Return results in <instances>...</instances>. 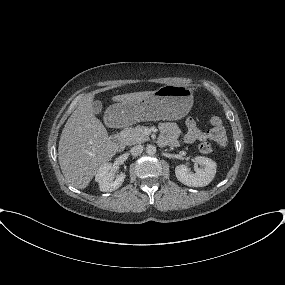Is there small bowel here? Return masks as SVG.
Wrapping results in <instances>:
<instances>
[{"label":"small bowel","instance_id":"small-bowel-1","mask_svg":"<svg viewBox=\"0 0 285 285\" xmlns=\"http://www.w3.org/2000/svg\"><path fill=\"white\" fill-rule=\"evenodd\" d=\"M162 133L161 143L177 146L179 143L180 128L173 122H164L160 125ZM208 138V134L201 130L196 121L193 118H189L186 121V132L184 135V141L188 144L196 141L203 142Z\"/></svg>","mask_w":285,"mask_h":285}]
</instances>
